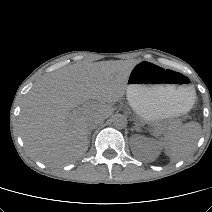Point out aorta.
<instances>
[{
    "label": "aorta",
    "mask_w": 212,
    "mask_h": 212,
    "mask_svg": "<svg viewBox=\"0 0 212 212\" xmlns=\"http://www.w3.org/2000/svg\"><path fill=\"white\" fill-rule=\"evenodd\" d=\"M112 123L114 127L122 129L127 125V119L121 114H116L113 116Z\"/></svg>",
    "instance_id": "aorta-1"
}]
</instances>
